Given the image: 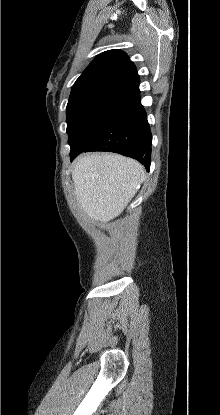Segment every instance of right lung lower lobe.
Listing matches in <instances>:
<instances>
[{"label": "right lung lower lobe", "instance_id": "right-lung-lower-lobe-1", "mask_svg": "<svg viewBox=\"0 0 220 415\" xmlns=\"http://www.w3.org/2000/svg\"><path fill=\"white\" fill-rule=\"evenodd\" d=\"M152 135L140 91L119 107L84 147L71 149V161L82 151H109L132 157L147 171L151 162Z\"/></svg>", "mask_w": 220, "mask_h": 415}]
</instances>
